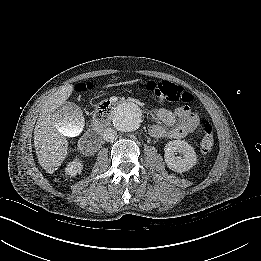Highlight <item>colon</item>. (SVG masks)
Segmentation results:
<instances>
[{"label": "colon", "instance_id": "colon-1", "mask_svg": "<svg viewBox=\"0 0 261 261\" xmlns=\"http://www.w3.org/2000/svg\"><path fill=\"white\" fill-rule=\"evenodd\" d=\"M145 87L159 102L191 103L193 101V96L190 92L186 91L180 85L168 81L150 80L146 82ZM91 88L92 86L87 84L82 86L81 89L90 90ZM109 111L110 103L103 102L97 106L95 114L100 119H104ZM201 127L204 131V135L200 142V149L202 152L207 153L211 151L214 145V127L208 119L201 121Z\"/></svg>", "mask_w": 261, "mask_h": 261}]
</instances>
